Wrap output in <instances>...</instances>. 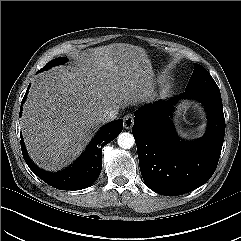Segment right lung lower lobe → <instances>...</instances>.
Listing matches in <instances>:
<instances>
[{
    "label": "right lung lower lobe",
    "mask_w": 241,
    "mask_h": 241,
    "mask_svg": "<svg viewBox=\"0 0 241 241\" xmlns=\"http://www.w3.org/2000/svg\"><path fill=\"white\" fill-rule=\"evenodd\" d=\"M28 89L21 103L20 115L22 113V105L28 94ZM122 128V119H118L102 127L83 155L73 165L61 172L48 173L39 169L29 158L25 150L24 142L21 139L22 154L33 173L50 186L60 190L84 189L89 187L99 177L102 168V148L113 141L121 133Z\"/></svg>",
    "instance_id": "1"
}]
</instances>
